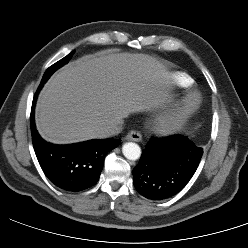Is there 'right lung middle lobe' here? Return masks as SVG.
<instances>
[{
  "label": "right lung middle lobe",
  "instance_id": "1",
  "mask_svg": "<svg viewBox=\"0 0 248 248\" xmlns=\"http://www.w3.org/2000/svg\"><path fill=\"white\" fill-rule=\"evenodd\" d=\"M74 51H72L70 54H68L66 57H64L63 59H61L60 61L56 62L55 64H53L52 66H50L46 72L43 75L42 81L45 82L47 81V79L61 66H63L64 64H66L69 59L73 56Z\"/></svg>",
  "mask_w": 248,
  "mask_h": 248
}]
</instances>
